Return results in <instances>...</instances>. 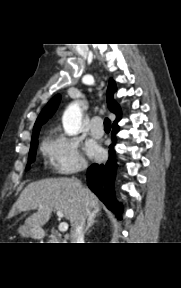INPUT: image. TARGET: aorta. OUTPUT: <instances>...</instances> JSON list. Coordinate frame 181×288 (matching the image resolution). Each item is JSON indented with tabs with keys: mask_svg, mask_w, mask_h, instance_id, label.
I'll list each match as a JSON object with an SVG mask.
<instances>
[{
	"mask_svg": "<svg viewBox=\"0 0 181 288\" xmlns=\"http://www.w3.org/2000/svg\"><path fill=\"white\" fill-rule=\"evenodd\" d=\"M82 121V112L78 102H74L65 110L62 124L66 134L77 135Z\"/></svg>",
	"mask_w": 181,
	"mask_h": 288,
	"instance_id": "1",
	"label": "aorta"
}]
</instances>
